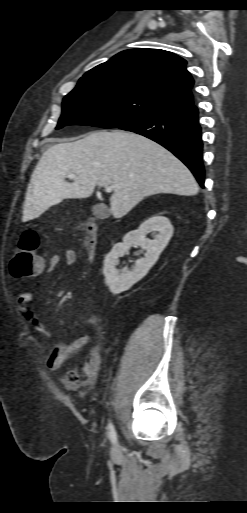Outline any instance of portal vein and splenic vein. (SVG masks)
Here are the masks:
<instances>
[{
    "label": "portal vein and splenic vein",
    "mask_w": 247,
    "mask_h": 513,
    "mask_svg": "<svg viewBox=\"0 0 247 513\" xmlns=\"http://www.w3.org/2000/svg\"><path fill=\"white\" fill-rule=\"evenodd\" d=\"M68 177L75 178L76 175L75 174H69ZM113 188H114L113 186H106L105 187V191L109 193V192H111L113 190Z\"/></svg>",
    "instance_id": "portal-vein-and-splenic-vein-1"
}]
</instances>
